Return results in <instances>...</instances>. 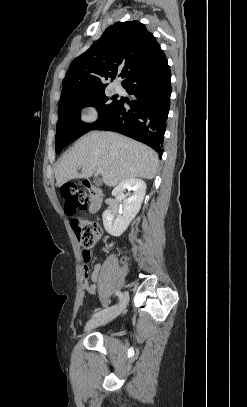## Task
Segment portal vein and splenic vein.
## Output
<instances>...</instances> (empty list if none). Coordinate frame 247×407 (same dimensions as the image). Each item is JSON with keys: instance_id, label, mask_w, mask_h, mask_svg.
Listing matches in <instances>:
<instances>
[{"instance_id": "18ae733b", "label": "portal vein and splenic vein", "mask_w": 247, "mask_h": 407, "mask_svg": "<svg viewBox=\"0 0 247 407\" xmlns=\"http://www.w3.org/2000/svg\"><path fill=\"white\" fill-rule=\"evenodd\" d=\"M101 172H102L101 169H98V170H97V174H101Z\"/></svg>"}]
</instances>
